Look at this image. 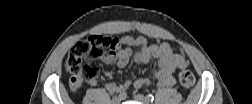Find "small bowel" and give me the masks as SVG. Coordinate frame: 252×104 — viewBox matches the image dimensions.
<instances>
[{
    "label": "small bowel",
    "instance_id": "1",
    "mask_svg": "<svg viewBox=\"0 0 252 104\" xmlns=\"http://www.w3.org/2000/svg\"><path fill=\"white\" fill-rule=\"evenodd\" d=\"M120 48L110 56L103 59L105 64L116 63L118 67L124 68L127 66L132 55L130 47L138 48L134 56V60L139 64H147L155 61V77L160 87H172L176 84L174 71L178 68L186 67L185 59L175 53L173 46L168 42H163L159 45L149 44L144 37L133 38L124 36L120 39ZM90 86H95L97 83L96 77H92L87 81ZM151 83L149 78H138L133 85L136 89H141ZM130 81L123 83L108 82L105 84L106 90L111 94L121 93L130 86Z\"/></svg>",
    "mask_w": 252,
    "mask_h": 104
}]
</instances>
